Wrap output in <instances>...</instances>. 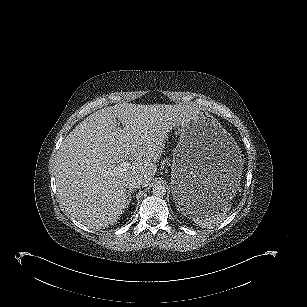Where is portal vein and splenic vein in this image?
I'll return each instance as SVG.
<instances>
[{
    "label": "portal vein and splenic vein",
    "mask_w": 307,
    "mask_h": 307,
    "mask_svg": "<svg viewBox=\"0 0 307 307\" xmlns=\"http://www.w3.org/2000/svg\"><path fill=\"white\" fill-rule=\"evenodd\" d=\"M128 165H129V162L126 161V162H123V163L121 164V167H126V166H128ZM121 167H117V168H115V169H113V170H111V171H107V174H111V175L117 174L119 171H122V168H121Z\"/></svg>",
    "instance_id": "portal-vein-and-splenic-vein-1"
}]
</instances>
